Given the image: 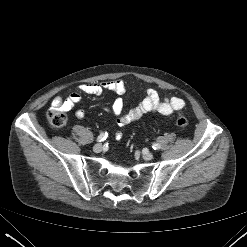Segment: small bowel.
<instances>
[{
  "instance_id": "1",
  "label": "small bowel",
  "mask_w": 247,
  "mask_h": 247,
  "mask_svg": "<svg viewBox=\"0 0 247 247\" xmlns=\"http://www.w3.org/2000/svg\"><path fill=\"white\" fill-rule=\"evenodd\" d=\"M125 90V83L121 79L100 83H84L79 86V91L84 94L99 96L104 91H113L119 96L110 107L104 108L107 112L117 117L119 127L136 121L149 112L170 116L185 107V102L182 98H162L155 89L150 88L146 91L145 97L137 106L124 112V103L120 96L125 93ZM80 101L81 95L77 92L70 94L65 99L61 96H56L52 100V107L68 111L74 108ZM75 115L78 119H82L84 117V111L77 110Z\"/></svg>"
}]
</instances>
